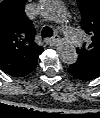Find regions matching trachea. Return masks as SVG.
Returning a JSON list of instances; mask_svg holds the SVG:
<instances>
[{"mask_svg": "<svg viewBox=\"0 0 100 118\" xmlns=\"http://www.w3.org/2000/svg\"><path fill=\"white\" fill-rule=\"evenodd\" d=\"M41 35H42V38L51 37L53 35V30L50 27L45 26L42 29Z\"/></svg>", "mask_w": 100, "mask_h": 118, "instance_id": "obj_1", "label": "trachea"}]
</instances>
